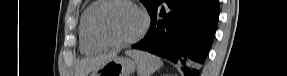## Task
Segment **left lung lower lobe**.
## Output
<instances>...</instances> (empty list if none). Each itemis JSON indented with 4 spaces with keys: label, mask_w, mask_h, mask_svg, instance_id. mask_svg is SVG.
I'll return each mask as SVG.
<instances>
[{
    "label": "left lung lower lobe",
    "mask_w": 287,
    "mask_h": 76,
    "mask_svg": "<svg viewBox=\"0 0 287 76\" xmlns=\"http://www.w3.org/2000/svg\"><path fill=\"white\" fill-rule=\"evenodd\" d=\"M150 13V29L132 46L183 65L188 76H199L212 45L219 18V0H164Z\"/></svg>",
    "instance_id": "0a47b994"
}]
</instances>
